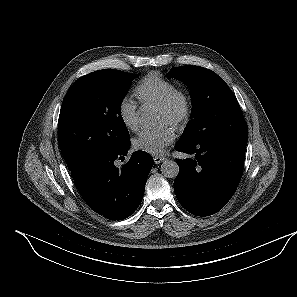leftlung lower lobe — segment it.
<instances>
[{
  "mask_svg": "<svg viewBox=\"0 0 297 297\" xmlns=\"http://www.w3.org/2000/svg\"><path fill=\"white\" fill-rule=\"evenodd\" d=\"M247 140L244 121L193 143L177 142V151L195 154L194 159H176L179 174L174 181V191L188 212L209 216L227 204L242 177Z\"/></svg>",
  "mask_w": 297,
  "mask_h": 297,
  "instance_id": "left-lung-lower-lobe-1",
  "label": "left lung lower lobe"
}]
</instances>
